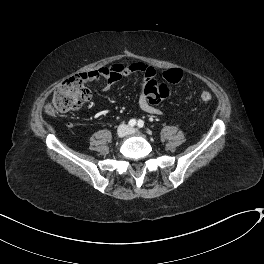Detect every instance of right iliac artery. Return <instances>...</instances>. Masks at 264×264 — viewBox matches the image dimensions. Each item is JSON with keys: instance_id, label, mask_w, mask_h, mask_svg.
I'll return each instance as SVG.
<instances>
[{"instance_id": "obj_1", "label": "right iliac artery", "mask_w": 264, "mask_h": 264, "mask_svg": "<svg viewBox=\"0 0 264 264\" xmlns=\"http://www.w3.org/2000/svg\"><path fill=\"white\" fill-rule=\"evenodd\" d=\"M136 123L137 122L135 119H131L128 124H129V126L134 127L136 125Z\"/></svg>"}]
</instances>
